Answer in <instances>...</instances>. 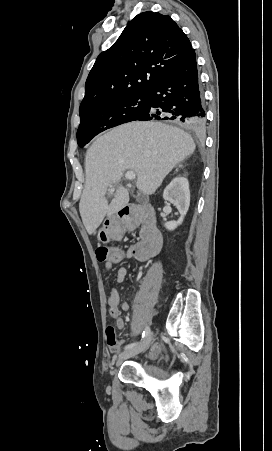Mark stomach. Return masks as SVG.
<instances>
[{"label": "stomach", "mask_w": 272, "mask_h": 451, "mask_svg": "<svg viewBox=\"0 0 272 451\" xmlns=\"http://www.w3.org/2000/svg\"><path fill=\"white\" fill-rule=\"evenodd\" d=\"M97 237L102 243H108V241H110L108 229H106V227H101V229H99Z\"/></svg>", "instance_id": "obj_1"}]
</instances>
